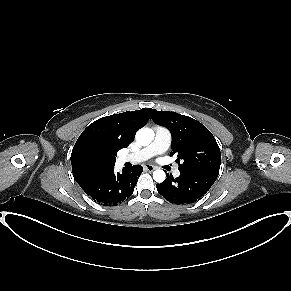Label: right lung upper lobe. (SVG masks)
I'll return each instance as SVG.
<instances>
[{"instance_id":"obj_1","label":"right lung upper lobe","mask_w":291,"mask_h":291,"mask_svg":"<svg viewBox=\"0 0 291 291\" xmlns=\"http://www.w3.org/2000/svg\"><path fill=\"white\" fill-rule=\"evenodd\" d=\"M153 109L143 108L106 116L91 123L71 153L73 177L79 185L114 168L117 152L128 147L135 133L151 119Z\"/></svg>"}]
</instances>
